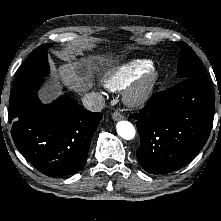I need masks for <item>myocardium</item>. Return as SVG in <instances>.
<instances>
[{
    "mask_svg": "<svg viewBox=\"0 0 221 221\" xmlns=\"http://www.w3.org/2000/svg\"><path fill=\"white\" fill-rule=\"evenodd\" d=\"M160 80V71L151 67L132 82L124 94V100L133 107L144 106L152 98Z\"/></svg>",
    "mask_w": 221,
    "mask_h": 221,
    "instance_id": "1",
    "label": "myocardium"
}]
</instances>
